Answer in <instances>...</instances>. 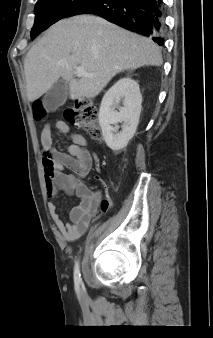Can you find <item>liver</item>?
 I'll list each match as a JSON object with an SVG mask.
<instances>
[{
	"label": "liver",
	"mask_w": 213,
	"mask_h": 338,
	"mask_svg": "<svg viewBox=\"0 0 213 338\" xmlns=\"http://www.w3.org/2000/svg\"><path fill=\"white\" fill-rule=\"evenodd\" d=\"M161 50L142 37L92 15L63 19L51 26L24 61L27 98L35 101L63 78L73 99L96 97L119 72L160 66ZM76 67L93 77L75 79Z\"/></svg>",
	"instance_id": "1"
}]
</instances>
